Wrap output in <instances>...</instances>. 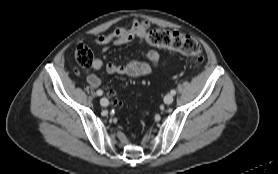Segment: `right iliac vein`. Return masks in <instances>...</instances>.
<instances>
[{
    "label": "right iliac vein",
    "instance_id": "obj_1",
    "mask_svg": "<svg viewBox=\"0 0 278 174\" xmlns=\"http://www.w3.org/2000/svg\"><path fill=\"white\" fill-rule=\"evenodd\" d=\"M100 104H101L103 107H107L108 104H109V101H108L107 98L103 97V98H101V100H100Z\"/></svg>",
    "mask_w": 278,
    "mask_h": 174
}]
</instances>
